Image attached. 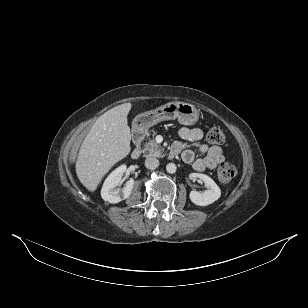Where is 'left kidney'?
<instances>
[{"instance_id": "5707ae66", "label": "left kidney", "mask_w": 308, "mask_h": 308, "mask_svg": "<svg viewBox=\"0 0 308 308\" xmlns=\"http://www.w3.org/2000/svg\"><path fill=\"white\" fill-rule=\"evenodd\" d=\"M199 178L205 183L207 190L200 193L198 191L190 192V200L198 206H207L218 200L221 196V190L218 185L209 176L201 173H192L190 178Z\"/></svg>"}]
</instances>
